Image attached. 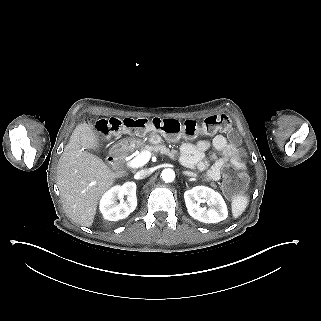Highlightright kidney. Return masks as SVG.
<instances>
[{
	"label": "right kidney",
	"instance_id": "1",
	"mask_svg": "<svg viewBox=\"0 0 321 321\" xmlns=\"http://www.w3.org/2000/svg\"><path fill=\"white\" fill-rule=\"evenodd\" d=\"M124 196H127L126 201L123 200ZM117 200H120V203ZM136 206V183L126 182L122 186L116 185L108 190L102 196L99 208L104 219L118 221L126 218Z\"/></svg>",
	"mask_w": 321,
	"mask_h": 321
}]
</instances>
